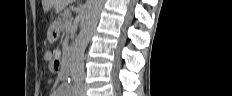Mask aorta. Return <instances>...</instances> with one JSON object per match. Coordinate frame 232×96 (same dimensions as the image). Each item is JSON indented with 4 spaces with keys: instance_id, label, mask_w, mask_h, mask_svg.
Returning <instances> with one entry per match:
<instances>
[{
    "instance_id": "1",
    "label": "aorta",
    "mask_w": 232,
    "mask_h": 96,
    "mask_svg": "<svg viewBox=\"0 0 232 96\" xmlns=\"http://www.w3.org/2000/svg\"><path fill=\"white\" fill-rule=\"evenodd\" d=\"M105 0H89L85 23L82 25L80 33L75 43L72 57V71L80 76L84 73V53L90 41L93 30L96 27L100 12Z\"/></svg>"
}]
</instances>
